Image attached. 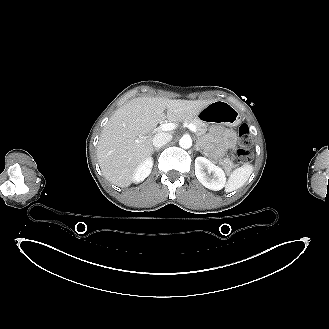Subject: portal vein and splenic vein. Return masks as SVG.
<instances>
[{
	"label": "portal vein and splenic vein",
	"mask_w": 329,
	"mask_h": 329,
	"mask_svg": "<svg viewBox=\"0 0 329 329\" xmlns=\"http://www.w3.org/2000/svg\"><path fill=\"white\" fill-rule=\"evenodd\" d=\"M176 127H177V125H176L175 123H166V124L161 125V126L158 128V130H159V131H171V130L176 129ZM188 128H189L192 132H194V133L197 132V128H196V126L193 125V124H188Z\"/></svg>",
	"instance_id": "obj_1"
}]
</instances>
